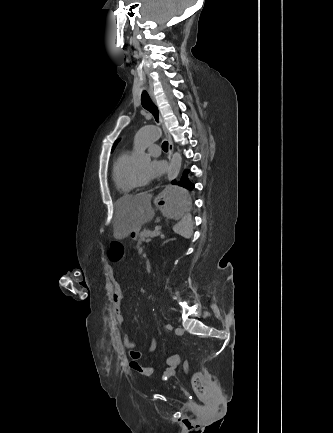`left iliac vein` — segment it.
Wrapping results in <instances>:
<instances>
[{"mask_svg":"<svg viewBox=\"0 0 333 433\" xmlns=\"http://www.w3.org/2000/svg\"><path fill=\"white\" fill-rule=\"evenodd\" d=\"M175 333H176L177 335H182V334L184 333V329L178 327V328L175 329Z\"/></svg>","mask_w":333,"mask_h":433,"instance_id":"1","label":"left iliac vein"}]
</instances>
